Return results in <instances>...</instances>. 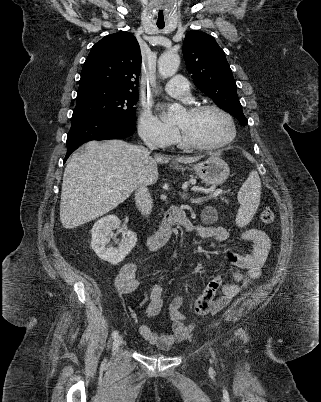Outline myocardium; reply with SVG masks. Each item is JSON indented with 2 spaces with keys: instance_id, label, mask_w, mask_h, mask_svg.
<instances>
[{
  "instance_id": "f54148a6",
  "label": "myocardium",
  "mask_w": 321,
  "mask_h": 402,
  "mask_svg": "<svg viewBox=\"0 0 321 402\" xmlns=\"http://www.w3.org/2000/svg\"><path fill=\"white\" fill-rule=\"evenodd\" d=\"M204 110H215V111L219 112L221 115H223L229 123L230 134L228 135V137H226L225 139H223L222 141H220L218 143L203 144V143H199V142L195 141L194 139H192L183 129L178 127L180 140H181L183 146L188 147V148L197 149V150L212 151V150H217V149L223 148V147L229 145L230 143H232L234 141V139L236 138V134H237L236 124H235V121H234L232 115L229 112H227L225 109L220 107L219 105L211 104V103L198 104V105H194V106H191L188 108V111L191 113H199Z\"/></svg>"
}]
</instances>
